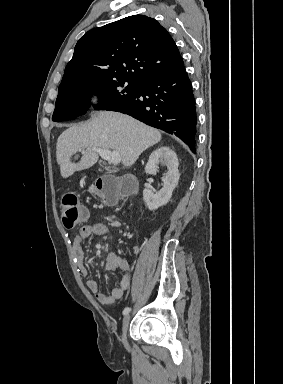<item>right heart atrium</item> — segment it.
Instances as JSON below:
<instances>
[{"mask_svg": "<svg viewBox=\"0 0 283 384\" xmlns=\"http://www.w3.org/2000/svg\"><path fill=\"white\" fill-rule=\"evenodd\" d=\"M103 98L102 91L97 87H90L84 91V103L87 108H94L100 104Z\"/></svg>", "mask_w": 283, "mask_h": 384, "instance_id": "d8ad5b80", "label": "right heart atrium"}]
</instances>
